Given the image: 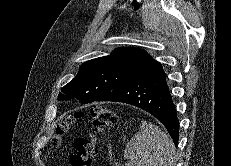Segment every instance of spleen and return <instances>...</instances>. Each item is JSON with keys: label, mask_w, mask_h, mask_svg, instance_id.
<instances>
[{"label": "spleen", "mask_w": 231, "mask_h": 166, "mask_svg": "<svg viewBox=\"0 0 231 166\" xmlns=\"http://www.w3.org/2000/svg\"><path fill=\"white\" fill-rule=\"evenodd\" d=\"M130 166H175V146L158 126L142 120L124 150Z\"/></svg>", "instance_id": "spleen-1"}]
</instances>
